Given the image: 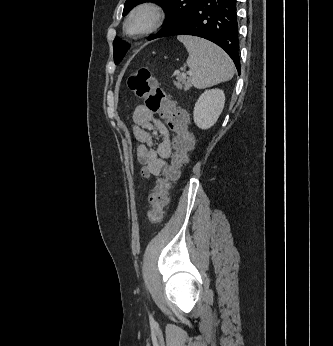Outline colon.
<instances>
[{"instance_id": "obj_1", "label": "colon", "mask_w": 333, "mask_h": 346, "mask_svg": "<svg viewBox=\"0 0 333 346\" xmlns=\"http://www.w3.org/2000/svg\"><path fill=\"white\" fill-rule=\"evenodd\" d=\"M128 88L144 101L145 108L159 114L175 132L174 153L171 163L164 168L162 177L158 178L154 190L149 196L150 209L148 220L157 223L162 220L163 210L167 204V193L171 183L179 177V171L188 161V153L193 145V135L187 127V115L175 108L168 99L148 68H139L127 80Z\"/></svg>"}]
</instances>
